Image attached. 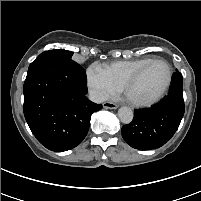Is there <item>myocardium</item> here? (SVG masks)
<instances>
[{"instance_id": "f54148a6", "label": "myocardium", "mask_w": 201, "mask_h": 201, "mask_svg": "<svg viewBox=\"0 0 201 201\" xmlns=\"http://www.w3.org/2000/svg\"><path fill=\"white\" fill-rule=\"evenodd\" d=\"M155 62H162L167 66L168 77H167V81H166L164 87L154 97H152L148 100H137V99L132 98L129 95V90H130L131 86L138 80V78L145 71V69L148 68L151 64H153ZM172 79H173V69H172V66L170 65V63L163 58H153L150 61H148L147 63H145L144 65H142L138 70H136L125 81V83L122 86V92L124 94V97L128 101V103H130L133 106H136V107L151 106V105L155 104L156 102H158L166 94V92L169 90V88L171 86Z\"/></svg>"}]
</instances>
